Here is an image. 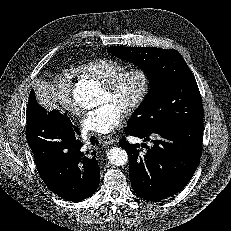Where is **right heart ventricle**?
Segmentation results:
<instances>
[{"instance_id":"obj_1","label":"right heart ventricle","mask_w":231,"mask_h":231,"mask_svg":"<svg viewBox=\"0 0 231 231\" xmlns=\"http://www.w3.org/2000/svg\"><path fill=\"white\" fill-rule=\"evenodd\" d=\"M126 68L127 66L118 60L96 58L77 65L74 71L83 77L92 78L103 85Z\"/></svg>"}]
</instances>
